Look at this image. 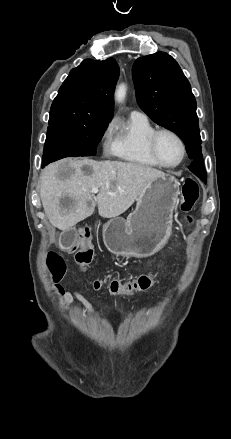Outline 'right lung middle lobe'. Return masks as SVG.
<instances>
[{
    "label": "right lung middle lobe",
    "mask_w": 231,
    "mask_h": 439,
    "mask_svg": "<svg viewBox=\"0 0 231 439\" xmlns=\"http://www.w3.org/2000/svg\"><path fill=\"white\" fill-rule=\"evenodd\" d=\"M111 119L88 115L50 117L42 167L64 157L94 156Z\"/></svg>",
    "instance_id": "right-lung-middle-lobe-1"
}]
</instances>
